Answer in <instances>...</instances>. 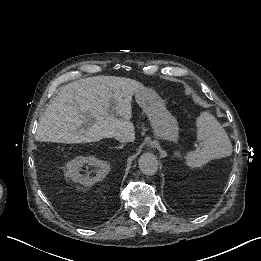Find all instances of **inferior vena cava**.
<instances>
[{"instance_id":"inferior-vena-cava-1","label":"inferior vena cava","mask_w":261,"mask_h":261,"mask_svg":"<svg viewBox=\"0 0 261 261\" xmlns=\"http://www.w3.org/2000/svg\"><path fill=\"white\" fill-rule=\"evenodd\" d=\"M118 140L120 142H127V138H125V137H119Z\"/></svg>"}]
</instances>
